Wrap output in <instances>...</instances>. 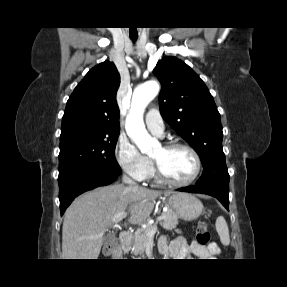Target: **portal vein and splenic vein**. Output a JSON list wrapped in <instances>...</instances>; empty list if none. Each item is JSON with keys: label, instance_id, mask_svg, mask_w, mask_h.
I'll return each mask as SVG.
<instances>
[{"label": "portal vein and splenic vein", "instance_id": "18ae733b", "mask_svg": "<svg viewBox=\"0 0 287 287\" xmlns=\"http://www.w3.org/2000/svg\"><path fill=\"white\" fill-rule=\"evenodd\" d=\"M124 217H126V212H121V213H118L116 214L114 217H113V222L115 223V225L118 224V222H120ZM165 217L163 215L157 217V220H156V224L152 226V228L147 232V234L149 236H152L155 234L156 230H157V224L159 222H161Z\"/></svg>", "mask_w": 287, "mask_h": 287}]
</instances>
